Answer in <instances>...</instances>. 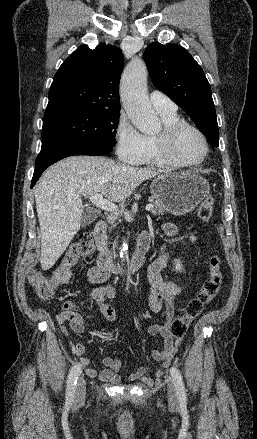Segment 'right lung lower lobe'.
I'll use <instances>...</instances> for the list:
<instances>
[{"instance_id":"obj_1","label":"right lung lower lobe","mask_w":257,"mask_h":439,"mask_svg":"<svg viewBox=\"0 0 257 439\" xmlns=\"http://www.w3.org/2000/svg\"><path fill=\"white\" fill-rule=\"evenodd\" d=\"M113 148L105 147L96 144L86 143H70L61 144L48 149L41 150L35 163V171L33 174L31 187H33L36 181L41 176L42 172L53 163L73 155H91L102 156L107 155Z\"/></svg>"}]
</instances>
